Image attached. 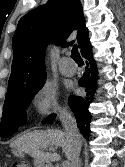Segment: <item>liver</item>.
<instances>
[{
	"mask_svg": "<svg viewBox=\"0 0 125 167\" xmlns=\"http://www.w3.org/2000/svg\"><path fill=\"white\" fill-rule=\"evenodd\" d=\"M11 148H16L36 160L53 162L60 159L59 154L44 151L48 147H61L66 157H72V142L65 131L57 129L35 130L17 137Z\"/></svg>",
	"mask_w": 125,
	"mask_h": 167,
	"instance_id": "liver-1",
	"label": "liver"
}]
</instances>
